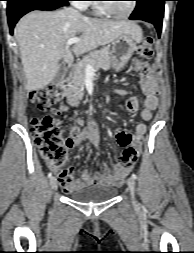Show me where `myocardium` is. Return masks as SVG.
Wrapping results in <instances>:
<instances>
[{
    "label": "myocardium",
    "instance_id": "1",
    "mask_svg": "<svg viewBox=\"0 0 194 253\" xmlns=\"http://www.w3.org/2000/svg\"><path fill=\"white\" fill-rule=\"evenodd\" d=\"M105 14L111 16V17H114L116 19H126L128 17H130L133 12L135 11L136 9V1L135 0H132L131 1V7L130 9L124 13V14H118V13H115L114 11H112L106 3H103V2H100L98 5H97Z\"/></svg>",
    "mask_w": 194,
    "mask_h": 253
}]
</instances>
